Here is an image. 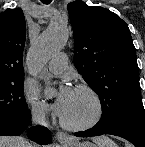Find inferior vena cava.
<instances>
[{
  "instance_id": "602c4592",
  "label": "inferior vena cava",
  "mask_w": 145,
  "mask_h": 147,
  "mask_svg": "<svg viewBox=\"0 0 145 147\" xmlns=\"http://www.w3.org/2000/svg\"><path fill=\"white\" fill-rule=\"evenodd\" d=\"M32 122L35 125H45V112L44 111L34 112L32 115ZM29 146L32 147V145Z\"/></svg>"
}]
</instances>
